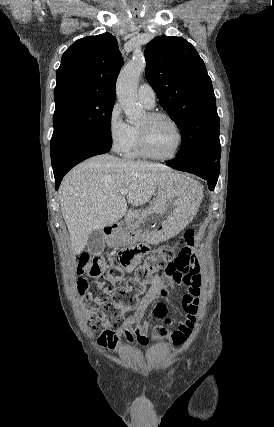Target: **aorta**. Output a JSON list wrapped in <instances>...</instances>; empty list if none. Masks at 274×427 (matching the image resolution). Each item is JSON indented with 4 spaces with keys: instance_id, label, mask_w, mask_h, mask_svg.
Segmentation results:
<instances>
[{
    "instance_id": "1",
    "label": "aorta",
    "mask_w": 274,
    "mask_h": 427,
    "mask_svg": "<svg viewBox=\"0 0 274 427\" xmlns=\"http://www.w3.org/2000/svg\"><path fill=\"white\" fill-rule=\"evenodd\" d=\"M145 67L144 56L136 54L124 66L117 79L116 92L118 101L129 122L139 120L143 113V109L137 102V87Z\"/></svg>"
}]
</instances>
